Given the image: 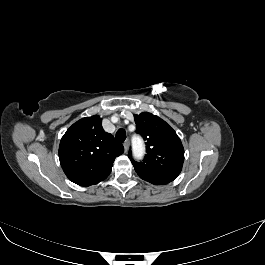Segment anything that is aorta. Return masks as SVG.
Returning a JSON list of instances; mask_svg holds the SVG:
<instances>
[{
  "mask_svg": "<svg viewBox=\"0 0 265 265\" xmlns=\"http://www.w3.org/2000/svg\"><path fill=\"white\" fill-rule=\"evenodd\" d=\"M145 148L143 141L140 137H135L133 139V155L137 159H141L144 155Z\"/></svg>",
  "mask_w": 265,
  "mask_h": 265,
  "instance_id": "1",
  "label": "aorta"
}]
</instances>
